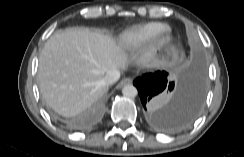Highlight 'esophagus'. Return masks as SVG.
Instances as JSON below:
<instances>
[{"mask_svg":"<svg viewBox=\"0 0 244 157\" xmlns=\"http://www.w3.org/2000/svg\"><path fill=\"white\" fill-rule=\"evenodd\" d=\"M132 83V79L127 77V78H123L117 85V88L120 89L122 87H124L127 84Z\"/></svg>","mask_w":244,"mask_h":157,"instance_id":"obj_1","label":"esophagus"}]
</instances>
